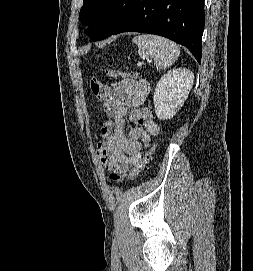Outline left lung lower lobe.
<instances>
[{
  "label": "left lung lower lobe",
  "mask_w": 253,
  "mask_h": 271,
  "mask_svg": "<svg viewBox=\"0 0 253 271\" xmlns=\"http://www.w3.org/2000/svg\"><path fill=\"white\" fill-rule=\"evenodd\" d=\"M203 3L204 0H133L130 13L111 35L134 31L164 36L187 47L200 63Z\"/></svg>",
  "instance_id": "1"
}]
</instances>
